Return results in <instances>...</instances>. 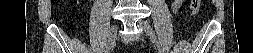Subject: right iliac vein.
<instances>
[{
  "label": "right iliac vein",
  "instance_id": "63e3f726",
  "mask_svg": "<svg viewBox=\"0 0 253 53\" xmlns=\"http://www.w3.org/2000/svg\"><path fill=\"white\" fill-rule=\"evenodd\" d=\"M116 35H117V26L113 25L109 34L105 53H109L110 48L113 46L115 42Z\"/></svg>",
  "mask_w": 253,
  "mask_h": 53
}]
</instances>
